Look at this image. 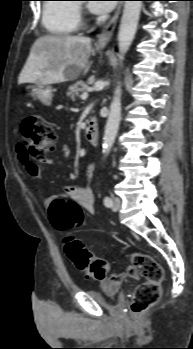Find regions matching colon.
Wrapping results in <instances>:
<instances>
[{
  "mask_svg": "<svg viewBox=\"0 0 193 349\" xmlns=\"http://www.w3.org/2000/svg\"><path fill=\"white\" fill-rule=\"evenodd\" d=\"M21 132V146L29 159L43 160L55 149L56 134L40 116L31 114L25 117L21 124ZM35 167L31 162L30 168ZM49 214L52 226L65 236V252L74 266L91 279H105L109 272L108 262L90 252L75 236L76 227L82 218L81 207L73 201L56 199L49 206ZM130 260L137 274L144 279L134 292L131 310L135 314H142L158 302L164 271L148 254L134 252L130 255Z\"/></svg>",
  "mask_w": 193,
  "mask_h": 349,
  "instance_id": "colon-1",
  "label": "colon"
}]
</instances>
